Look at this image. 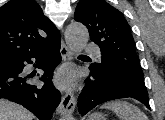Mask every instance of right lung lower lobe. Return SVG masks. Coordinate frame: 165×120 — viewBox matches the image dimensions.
Wrapping results in <instances>:
<instances>
[{
    "mask_svg": "<svg viewBox=\"0 0 165 120\" xmlns=\"http://www.w3.org/2000/svg\"><path fill=\"white\" fill-rule=\"evenodd\" d=\"M44 71L40 80L42 88L35 86L31 76L23 73L25 62L33 63ZM61 61L60 37L30 53L18 56L0 64V98L23 105L39 120H50L53 111L59 105L61 96L51 81L55 67Z\"/></svg>",
    "mask_w": 165,
    "mask_h": 120,
    "instance_id": "obj_1",
    "label": "right lung lower lobe"
}]
</instances>
